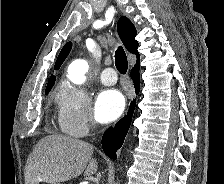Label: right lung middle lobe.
Returning a JSON list of instances; mask_svg holds the SVG:
<instances>
[{"label": "right lung middle lobe", "mask_w": 224, "mask_h": 184, "mask_svg": "<svg viewBox=\"0 0 224 184\" xmlns=\"http://www.w3.org/2000/svg\"><path fill=\"white\" fill-rule=\"evenodd\" d=\"M49 91H50V89H47V90L45 91V94H48V93H49Z\"/></svg>", "instance_id": "1"}]
</instances>
